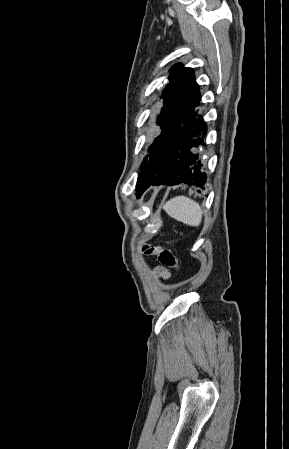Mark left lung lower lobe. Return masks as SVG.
I'll return each instance as SVG.
<instances>
[{
  "label": "left lung lower lobe",
  "instance_id": "1",
  "mask_svg": "<svg viewBox=\"0 0 289 449\" xmlns=\"http://www.w3.org/2000/svg\"><path fill=\"white\" fill-rule=\"evenodd\" d=\"M206 125L197 111L165 144V157L161 169L154 177L143 181L137 187V196L150 185H176L185 183L189 186L203 187L207 182L203 164L194 149L203 143Z\"/></svg>",
  "mask_w": 289,
  "mask_h": 449
}]
</instances>
